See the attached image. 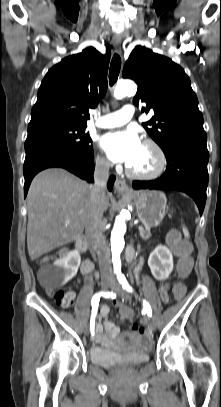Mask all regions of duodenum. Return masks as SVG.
<instances>
[{
    "mask_svg": "<svg viewBox=\"0 0 221 407\" xmlns=\"http://www.w3.org/2000/svg\"><path fill=\"white\" fill-rule=\"evenodd\" d=\"M76 246L81 253H84L87 248V240L84 236H81L76 241ZM132 253L129 252L128 257L130 258ZM94 270L93 263L89 260L84 258L81 262V271L85 274L92 273Z\"/></svg>",
    "mask_w": 221,
    "mask_h": 407,
    "instance_id": "obj_1",
    "label": "duodenum"
}]
</instances>
